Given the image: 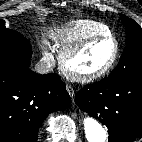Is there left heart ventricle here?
Here are the masks:
<instances>
[{"label": "left heart ventricle", "instance_id": "left-heart-ventricle-1", "mask_svg": "<svg viewBox=\"0 0 142 142\" xmlns=\"http://www.w3.org/2000/svg\"><path fill=\"white\" fill-rule=\"evenodd\" d=\"M114 44L110 40L93 43L81 54L73 58L70 66L77 71L88 73L103 67L112 57Z\"/></svg>", "mask_w": 142, "mask_h": 142}]
</instances>
